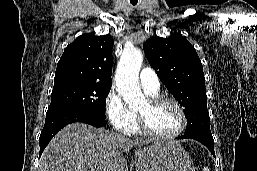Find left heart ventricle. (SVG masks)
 I'll return each instance as SVG.
<instances>
[{"label":"left heart ventricle","instance_id":"obj_1","mask_svg":"<svg viewBox=\"0 0 257 171\" xmlns=\"http://www.w3.org/2000/svg\"><path fill=\"white\" fill-rule=\"evenodd\" d=\"M138 112L143 114L154 131L162 134H168L176 131L181 124L180 114L177 109L170 103H162L151 106L146 101Z\"/></svg>","mask_w":257,"mask_h":171}]
</instances>
